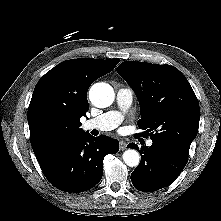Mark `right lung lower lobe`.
Instances as JSON below:
<instances>
[{
    "instance_id": "right-lung-lower-lobe-1",
    "label": "right lung lower lobe",
    "mask_w": 221,
    "mask_h": 221,
    "mask_svg": "<svg viewBox=\"0 0 221 221\" xmlns=\"http://www.w3.org/2000/svg\"><path fill=\"white\" fill-rule=\"evenodd\" d=\"M118 150L117 140L104 135L93 137L86 132L38 161L53 186L77 193L93 188L101 180L104 157Z\"/></svg>"
}]
</instances>
